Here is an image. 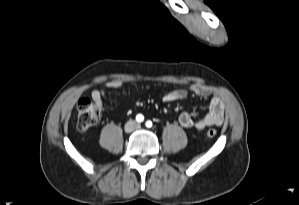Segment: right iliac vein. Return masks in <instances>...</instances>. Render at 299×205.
I'll return each mask as SVG.
<instances>
[{
	"label": "right iliac vein",
	"mask_w": 299,
	"mask_h": 205,
	"mask_svg": "<svg viewBox=\"0 0 299 205\" xmlns=\"http://www.w3.org/2000/svg\"><path fill=\"white\" fill-rule=\"evenodd\" d=\"M134 130V123L133 122H129L125 125V131L127 133H130Z\"/></svg>",
	"instance_id": "1"
}]
</instances>
